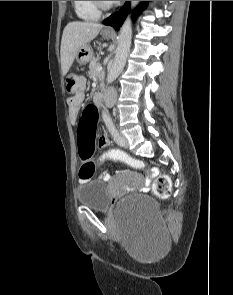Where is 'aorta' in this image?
<instances>
[{
  "instance_id": "762f6f07",
  "label": "aorta",
  "mask_w": 233,
  "mask_h": 295,
  "mask_svg": "<svg viewBox=\"0 0 233 295\" xmlns=\"http://www.w3.org/2000/svg\"><path fill=\"white\" fill-rule=\"evenodd\" d=\"M139 1H131V9L135 8ZM132 23L130 16L127 17L119 33V44L116 50L113 65L108 72L107 82H113L122 72L131 46ZM105 113V112H103Z\"/></svg>"
}]
</instances>
